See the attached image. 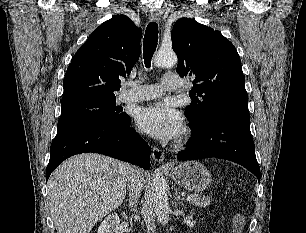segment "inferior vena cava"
<instances>
[{
  "label": "inferior vena cava",
  "instance_id": "1",
  "mask_svg": "<svg viewBox=\"0 0 306 233\" xmlns=\"http://www.w3.org/2000/svg\"><path fill=\"white\" fill-rule=\"evenodd\" d=\"M143 180L144 179L141 170L133 167L128 183V192L130 199L137 201L138 197L140 196Z\"/></svg>",
  "mask_w": 306,
  "mask_h": 233
}]
</instances>
